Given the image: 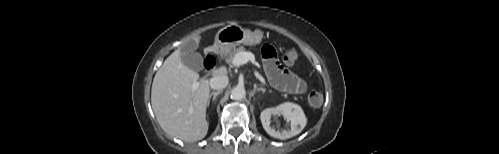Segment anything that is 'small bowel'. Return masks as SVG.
<instances>
[{
  "mask_svg": "<svg viewBox=\"0 0 499 154\" xmlns=\"http://www.w3.org/2000/svg\"><path fill=\"white\" fill-rule=\"evenodd\" d=\"M262 56L266 74L275 88L294 94H302L307 90L305 80L280 65L272 46L265 45Z\"/></svg>",
  "mask_w": 499,
  "mask_h": 154,
  "instance_id": "small-bowel-1",
  "label": "small bowel"
}]
</instances>
